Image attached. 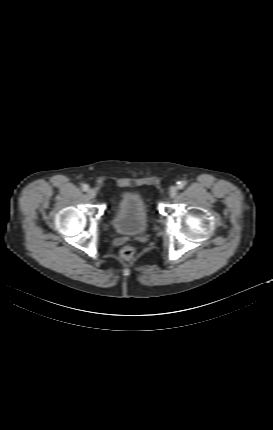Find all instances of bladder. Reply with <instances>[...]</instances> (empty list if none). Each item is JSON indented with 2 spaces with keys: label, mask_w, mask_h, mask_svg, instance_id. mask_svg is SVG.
Segmentation results:
<instances>
[{
  "label": "bladder",
  "mask_w": 273,
  "mask_h": 430,
  "mask_svg": "<svg viewBox=\"0 0 273 430\" xmlns=\"http://www.w3.org/2000/svg\"><path fill=\"white\" fill-rule=\"evenodd\" d=\"M111 223L119 234L127 236L144 234L148 229V214L141 195L125 193L115 207Z\"/></svg>",
  "instance_id": "bladder-1"
}]
</instances>
